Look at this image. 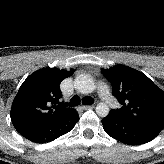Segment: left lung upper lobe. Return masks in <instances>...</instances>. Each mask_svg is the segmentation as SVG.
<instances>
[{"mask_svg":"<svg viewBox=\"0 0 164 164\" xmlns=\"http://www.w3.org/2000/svg\"><path fill=\"white\" fill-rule=\"evenodd\" d=\"M112 84L121 107L111 112L120 118L161 131L164 128V92L145 74L125 65L101 69Z\"/></svg>","mask_w":164,"mask_h":164,"instance_id":"obj_1","label":"left lung upper lobe"}]
</instances>
